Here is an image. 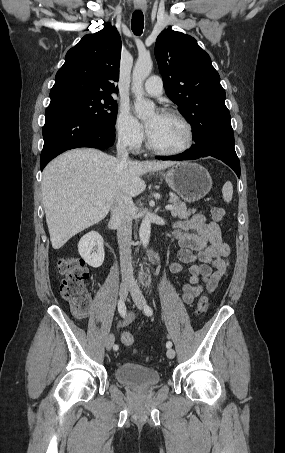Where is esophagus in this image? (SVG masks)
<instances>
[{"label":"esophagus","instance_id":"34e87169","mask_svg":"<svg viewBox=\"0 0 285 453\" xmlns=\"http://www.w3.org/2000/svg\"><path fill=\"white\" fill-rule=\"evenodd\" d=\"M135 8L138 10L145 11L146 10V4L143 0H136L135 1Z\"/></svg>","mask_w":285,"mask_h":453}]
</instances>
